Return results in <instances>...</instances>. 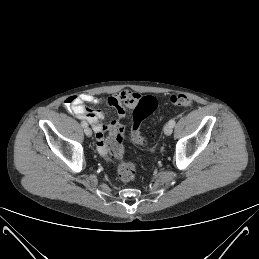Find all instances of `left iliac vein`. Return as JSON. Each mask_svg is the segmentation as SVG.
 I'll list each match as a JSON object with an SVG mask.
<instances>
[{
	"label": "left iliac vein",
	"instance_id": "left-iliac-vein-1",
	"mask_svg": "<svg viewBox=\"0 0 259 259\" xmlns=\"http://www.w3.org/2000/svg\"><path fill=\"white\" fill-rule=\"evenodd\" d=\"M172 131H173V127L169 123H167L164 126V133H165V135H167V136L171 135Z\"/></svg>",
	"mask_w": 259,
	"mask_h": 259
}]
</instances>
